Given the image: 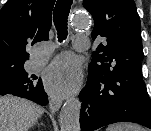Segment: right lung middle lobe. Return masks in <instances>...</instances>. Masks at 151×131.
I'll list each match as a JSON object with an SVG mask.
<instances>
[{"mask_svg":"<svg viewBox=\"0 0 151 131\" xmlns=\"http://www.w3.org/2000/svg\"><path fill=\"white\" fill-rule=\"evenodd\" d=\"M12 68V66H11ZM33 76L28 74L24 70V66L21 65L19 67H15L13 69H9L7 71L0 70V81L4 83V85H12L19 81L24 80L25 78Z\"/></svg>","mask_w":151,"mask_h":131,"instance_id":"1","label":"right lung middle lobe"}]
</instances>
